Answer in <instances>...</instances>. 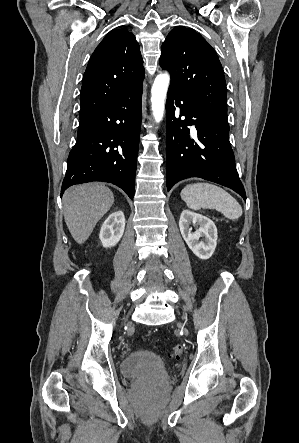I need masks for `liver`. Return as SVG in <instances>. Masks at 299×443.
Returning a JSON list of instances; mask_svg holds the SVG:
<instances>
[{
  "label": "liver",
  "instance_id": "1",
  "mask_svg": "<svg viewBox=\"0 0 299 443\" xmlns=\"http://www.w3.org/2000/svg\"><path fill=\"white\" fill-rule=\"evenodd\" d=\"M113 203V192L100 183L77 185L65 191L64 219L78 244H83L89 238L98 221Z\"/></svg>",
  "mask_w": 299,
  "mask_h": 443
}]
</instances>
